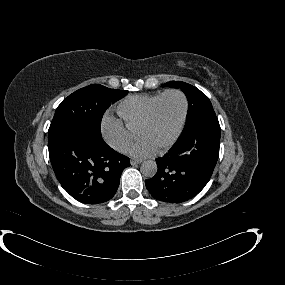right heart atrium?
Returning <instances> with one entry per match:
<instances>
[{"mask_svg":"<svg viewBox=\"0 0 285 285\" xmlns=\"http://www.w3.org/2000/svg\"><path fill=\"white\" fill-rule=\"evenodd\" d=\"M100 129L104 140L117 151H125L131 143L132 134L119 118L105 115Z\"/></svg>","mask_w":285,"mask_h":285,"instance_id":"obj_1","label":"right heart atrium"}]
</instances>
